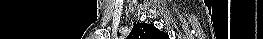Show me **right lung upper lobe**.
Returning <instances> with one entry per match:
<instances>
[{
  "label": "right lung upper lobe",
  "instance_id": "right-lung-upper-lobe-1",
  "mask_svg": "<svg viewBox=\"0 0 263 39\" xmlns=\"http://www.w3.org/2000/svg\"><path fill=\"white\" fill-rule=\"evenodd\" d=\"M167 34L157 29L152 24L138 23L136 24L129 37L132 39H164Z\"/></svg>",
  "mask_w": 263,
  "mask_h": 39
}]
</instances>
